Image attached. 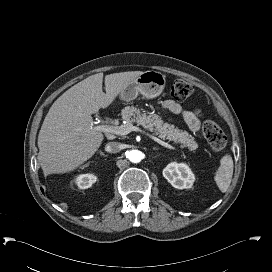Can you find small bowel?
<instances>
[{
	"instance_id": "c3829d8e",
	"label": "small bowel",
	"mask_w": 272,
	"mask_h": 272,
	"mask_svg": "<svg viewBox=\"0 0 272 272\" xmlns=\"http://www.w3.org/2000/svg\"><path fill=\"white\" fill-rule=\"evenodd\" d=\"M164 108L174 114L182 115L190 130L197 131L200 128V121L197 116L193 112L183 110L176 102L168 100L164 103Z\"/></svg>"
}]
</instances>
